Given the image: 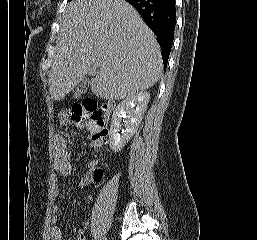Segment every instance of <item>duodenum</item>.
I'll list each match as a JSON object with an SVG mask.
<instances>
[{"label": "duodenum", "mask_w": 257, "mask_h": 240, "mask_svg": "<svg viewBox=\"0 0 257 240\" xmlns=\"http://www.w3.org/2000/svg\"><path fill=\"white\" fill-rule=\"evenodd\" d=\"M108 111L111 110V108L113 107V101H108Z\"/></svg>", "instance_id": "1"}]
</instances>
